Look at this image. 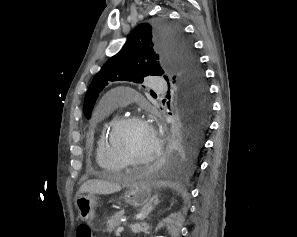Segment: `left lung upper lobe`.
I'll return each instance as SVG.
<instances>
[{"instance_id": "obj_1", "label": "left lung upper lobe", "mask_w": 297, "mask_h": 237, "mask_svg": "<svg viewBox=\"0 0 297 237\" xmlns=\"http://www.w3.org/2000/svg\"><path fill=\"white\" fill-rule=\"evenodd\" d=\"M174 73L177 93L197 105L209 103L207 87L192 45L182 30L166 21L138 25L122 50L94 76L86 93L84 114L90 117L99 93L109 81L143 82L148 75Z\"/></svg>"}]
</instances>
